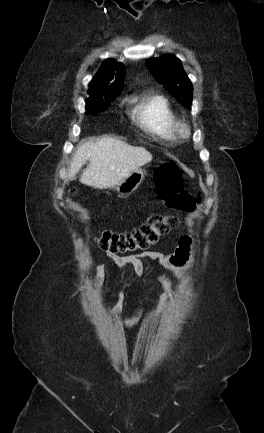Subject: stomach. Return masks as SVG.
I'll list each match as a JSON object with an SVG mask.
<instances>
[{
	"mask_svg": "<svg viewBox=\"0 0 264 433\" xmlns=\"http://www.w3.org/2000/svg\"><path fill=\"white\" fill-rule=\"evenodd\" d=\"M145 170L144 169H137L133 171L128 177L123 179L119 184L116 185V190L123 194H131L137 188L140 186L144 179Z\"/></svg>",
	"mask_w": 264,
	"mask_h": 433,
	"instance_id": "stomach-1",
	"label": "stomach"
}]
</instances>
